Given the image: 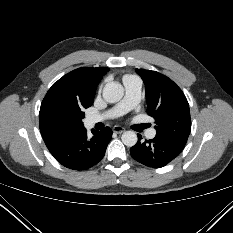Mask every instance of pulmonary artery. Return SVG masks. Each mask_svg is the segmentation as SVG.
<instances>
[{"label":"pulmonary artery","instance_id":"e3ab8cb5","mask_svg":"<svg viewBox=\"0 0 233 233\" xmlns=\"http://www.w3.org/2000/svg\"><path fill=\"white\" fill-rule=\"evenodd\" d=\"M125 87V96L122 101L115 106L112 110L103 115H93L87 118L88 125H94L106 118L116 117L124 114L125 112L133 109L140 101L142 81L137 76H126L123 79ZM156 135L155 129H150L147 132L148 138H154Z\"/></svg>","mask_w":233,"mask_h":233}]
</instances>
